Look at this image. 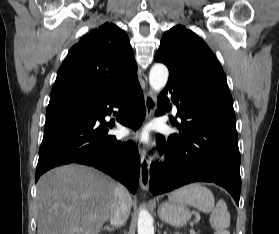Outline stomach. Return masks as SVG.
<instances>
[{
  "label": "stomach",
  "mask_w": 279,
  "mask_h": 234,
  "mask_svg": "<svg viewBox=\"0 0 279 234\" xmlns=\"http://www.w3.org/2000/svg\"><path fill=\"white\" fill-rule=\"evenodd\" d=\"M158 215L166 223L181 227L191 218L189 209L182 203L169 201L158 206Z\"/></svg>",
  "instance_id": "obj_1"
}]
</instances>
